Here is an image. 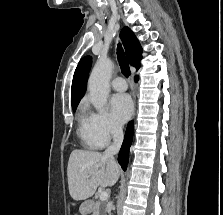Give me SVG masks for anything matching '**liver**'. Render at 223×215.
<instances>
[{
	"label": "liver",
	"mask_w": 223,
	"mask_h": 215,
	"mask_svg": "<svg viewBox=\"0 0 223 215\" xmlns=\"http://www.w3.org/2000/svg\"><path fill=\"white\" fill-rule=\"evenodd\" d=\"M119 169L118 163L112 157H104L99 151L73 149L67 167L71 197L87 199L95 193L98 185H114L118 179Z\"/></svg>",
	"instance_id": "1"
}]
</instances>
